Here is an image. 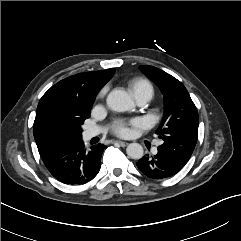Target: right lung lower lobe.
Here are the masks:
<instances>
[{"label":"right lung lower lobe","mask_w":241,"mask_h":241,"mask_svg":"<svg viewBox=\"0 0 241 241\" xmlns=\"http://www.w3.org/2000/svg\"><path fill=\"white\" fill-rule=\"evenodd\" d=\"M105 146L94 145L88 151L82 139L62 144L42 156L49 172L60 182L81 185L92 180L100 170Z\"/></svg>","instance_id":"obj_1"}]
</instances>
